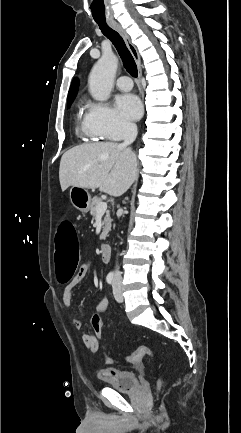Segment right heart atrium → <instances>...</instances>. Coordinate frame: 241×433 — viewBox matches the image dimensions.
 Wrapping results in <instances>:
<instances>
[{"label": "right heart atrium", "mask_w": 241, "mask_h": 433, "mask_svg": "<svg viewBox=\"0 0 241 433\" xmlns=\"http://www.w3.org/2000/svg\"><path fill=\"white\" fill-rule=\"evenodd\" d=\"M89 131L96 136L116 140L131 133L134 126L123 119L110 105L103 102L89 103L85 114Z\"/></svg>", "instance_id": "obj_1"}]
</instances>
